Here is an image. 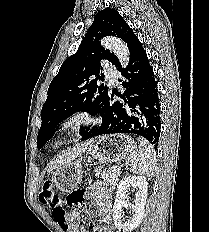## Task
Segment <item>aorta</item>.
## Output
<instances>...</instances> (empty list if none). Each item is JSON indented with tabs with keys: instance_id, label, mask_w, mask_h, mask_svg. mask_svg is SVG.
Returning a JSON list of instances; mask_svg holds the SVG:
<instances>
[{
	"instance_id": "762f6f07",
	"label": "aorta",
	"mask_w": 209,
	"mask_h": 232,
	"mask_svg": "<svg viewBox=\"0 0 209 232\" xmlns=\"http://www.w3.org/2000/svg\"><path fill=\"white\" fill-rule=\"evenodd\" d=\"M101 45L113 52L120 61L123 67H126L129 63V49L127 45L116 37H105L101 41Z\"/></svg>"
}]
</instances>
